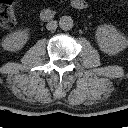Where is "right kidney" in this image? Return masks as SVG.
I'll use <instances>...</instances> for the list:
<instances>
[{
	"instance_id": "1",
	"label": "right kidney",
	"mask_w": 128,
	"mask_h": 128,
	"mask_svg": "<svg viewBox=\"0 0 128 128\" xmlns=\"http://www.w3.org/2000/svg\"><path fill=\"white\" fill-rule=\"evenodd\" d=\"M29 32L27 30H18L7 35L2 41V47L7 51H18L28 41Z\"/></svg>"
}]
</instances>
